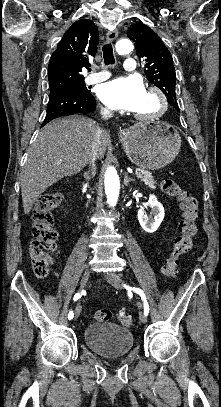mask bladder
I'll return each instance as SVG.
<instances>
[{
  "label": "bladder",
  "mask_w": 221,
  "mask_h": 407,
  "mask_svg": "<svg viewBox=\"0 0 221 407\" xmlns=\"http://www.w3.org/2000/svg\"><path fill=\"white\" fill-rule=\"evenodd\" d=\"M83 338L90 350L106 358L123 356L134 344V334L129 327L108 322L86 326Z\"/></svg>",
  "instance_id": "31cf9c89"
}]
</instances>
